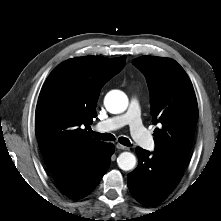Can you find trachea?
<instances>
[{"label":"trachea","instance_id":"obj_1","mask_svg":"<svg viewBox=\"0 0 221 221\" xmlns=\"http://www.w3.org/2000/svg\"><path fill=\"white\" fill-rule=\"evenodd\" d=\"M90 134L92 136H94L95 138L97 139H100V140H104V141H114L115 140V137L110 134V133H99V132H94L92 130H90ZM118 142L124 146H131V142L129 141L128 138H125V137H119L118 139Z\"/></svg>","mask_w":221,"mask_h":221}]
</instances>
